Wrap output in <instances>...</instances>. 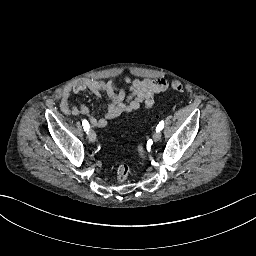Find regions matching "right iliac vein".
Segmentation results:
<instances>
[{
    "label": "right iliac vein",
    "instance_id": "obj_1",
    "mask_svg": "<svg viewBox=\"0 0 256 256\" xmlns=\"http://www.w3.org/2000/svg\"><path fill=\"white\" fill-rule=\"evenodd\" d=\"M88 139L92 143L96 141V133L93 130L88 133Z\"/></svg>",
    "mask_w": 256,
    "mask_h": 256
}]
</instances>
